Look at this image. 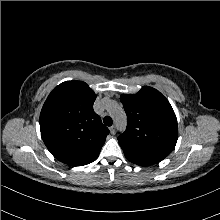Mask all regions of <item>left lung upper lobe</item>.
<instances>
[{
    "instance_id": "5c2ea615",
    "label": "left lung upper lobe",
    "mask_w": 220,
    "mask_h": 220,
    "mask_svg": "<svg viewBox=\"0 0 220 220\" xmlns=\"http://www.w3.org/2000/svg\"><path fill=\"white\" fill-rule=\"evenodd\" d=\"M120 100L127 127L118 141L126 158L145 166L162 161L178 139L177 119L168 100L149 86L136 94H122Z\"/></svg>"
}]
</instances>
